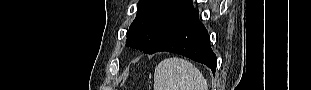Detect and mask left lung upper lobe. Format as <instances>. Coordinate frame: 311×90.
Segmentation results:
<instances>
[{"label": "left lung upper lobe", "mask_w": 311, "mask_h": 90, "mask_svg": "<svg viewBox=\"0 0 311 90\" xmlns=\"http://www.w3.org/2000/svg\"><path fill=\"white\" fill-rule=\"evenodd\" d=\"M192 11V0H140L126 45L149 54L170 29Z\"/></svg>", "instance_id": "obj_1"}]
</instances>
